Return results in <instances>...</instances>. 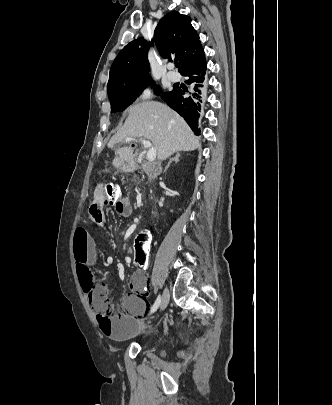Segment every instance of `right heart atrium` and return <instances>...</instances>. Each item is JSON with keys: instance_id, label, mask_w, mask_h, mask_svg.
Wrapping results in <instances>:
<instances>
[{"instance_id": "d8ad5b80", "label": "right heart atrium", "mask_w": 332, "mask_h": 405, "mask_svg": "<svg viewBox=\"0 0 332 405\" xmlns=\"http://www.w3.org/2000/svg\"><path fill=\"white\" fill-rule=\"evenodd\" d=\"M153 90L150 87H143L139 89L135 95V99L138 101H146L153 97Z\"/></svg>"}]
</instances>
